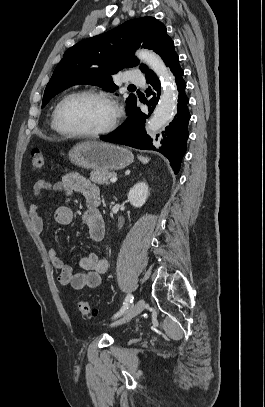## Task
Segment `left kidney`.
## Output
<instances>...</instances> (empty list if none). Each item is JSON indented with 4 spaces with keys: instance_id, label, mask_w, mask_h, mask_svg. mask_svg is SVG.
I'll return each instance as SVG.
<instances>
[{
    "instance_id": "5707ae66",
    "label": "left kidney",
    "mask_w": 265,
    "mask_h": 407,
    "mask_svg": "<svg viewBox=\"0 0 265 407\" xmlns=\"http://www.w3.org/2000/svg\"><path fill=\"white\" fill-rule=\"evenodd\" d=\"M148 198V186L145 182L135 184L128 193V200L136 208L142 207Z\"/></svg>"
}]
</instances>
